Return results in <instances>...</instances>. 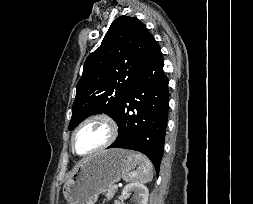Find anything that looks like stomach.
<instances>
[{"mask_svg":"<svg viewBox=\"0 0 253 204\" xmlns=\"http://www.w3.org/2000/svg\"><path fill=\"white\" fill-rule=\"evenodd\" d=\"M136 153L123 149L104 150L84 159L63 186L67 204H95L99 194L131 172Z\"/></svg>","mask_w":253,"mask_h":204,"instance_id":"0dacf381","label":"stomach"}]
</instances>
